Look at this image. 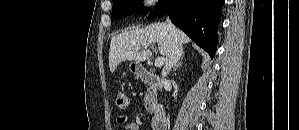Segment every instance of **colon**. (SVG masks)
<instances>
[{
  "mask_svg": "<svg viewBox=\"0 0 299 130\" xmlns=\"http://www.w3.org/2000/svg\"><path fill=\"white\" fill-rule=\"evenodd\" d=\"M116 104L121 109H126L129 105V98L125 92L119 91L116 94Z\"/></svg>",
  "mask_w": 299,
  "mask_h": 130,
  "instance_id": "colon-1",
  "label": "colon"
}]
</instances>
